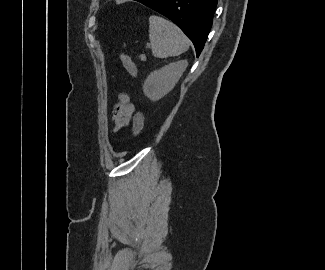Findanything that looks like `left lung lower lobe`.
<instances>
[{"label": "left lung lower lobe", "instance_id": "1", "mask_svg": "<svg viewBox=\"0 0 325 270\" xmlns=\"http://www.w3.org/2000/svg\"><path fill=\"white\" fill-rule=\"evenodd\" d=\"M173 21L193 42L200 55L210 28L217 0H135Z\"/></svg>", "mask_w": 325, "mask_h": 270}]
</instances>
